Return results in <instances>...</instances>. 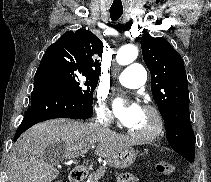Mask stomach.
Returning a JSON list of instances; mask_svg holds the SVG:
<instances>
[{"label": "stomach", "instance_id": "1", "mask_svg": "<svg viewBox=\"0 0 211 182\" xmlns=\"http://www.w3.org/2000/svg\"><path fill=\"white\" fill-rule=\"evenodd\" d=\"M137 152L132 147H127L118 151L108 160V165L118 169L130 167L136 160Z\"/></svg>", "mask_w": 211, "mask_h": 182}]
</instances>
